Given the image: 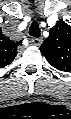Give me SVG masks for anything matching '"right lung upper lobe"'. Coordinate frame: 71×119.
I'll return each instance as SVG.
<instances>
[{"mask_svg":"<svg viewBox=\"0 0 71 119\" xmlns=\"http://www.w3.org/2000/svg\"><path fill=\"white\" fill-rule=\"evenodd\" d=\"M21 45V41L14 42L1 34L0 36V68L9 65L15 58L16 48Z\"/></svg>","mask_w":71,"mask_h":119,"instance_id":"obj_1","label":"right lung upper lobe"}]
</instances>
